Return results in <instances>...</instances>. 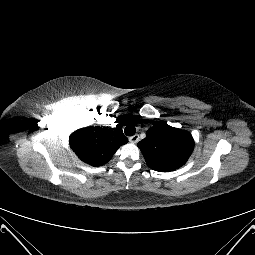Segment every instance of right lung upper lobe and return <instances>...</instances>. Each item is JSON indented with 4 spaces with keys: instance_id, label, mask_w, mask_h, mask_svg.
Here are the masks:
<instances>
[{
    "instance_id": "obj_1",
    "label": "right lung upper lobe",
    "mask_w": 255,
    "mask_h": 255,
    "mask_svg": "<svg viewBox=\"0 0 255 255\" xmlns=\"http://www.w3.org/2000/svg\"><path fill=\"white\" fill-rule=\"evenodd\" d=\"M128 142L120 126L86 127L73 132L69 143L76 155L85 163L98 167L107 163L118 148Z\"/></svg>"
}]
</instances>
